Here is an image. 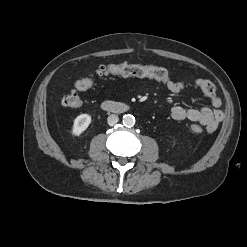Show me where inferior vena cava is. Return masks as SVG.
<instances>
[{"mask_svg": "<svg viewBox=\"0 0 247 247\" xmlns=\"http://www.w3.org/2000/svg\"><path fill=\"white\" fill-rule=\"evenodd\" d=\"M119 121V118L116 114H111L110 116H108L107 118V122L110 126L115 125L117 122Z\"/></svg>", "mask_w": 247, "mask_h": 247, "instance_id": "inferior-vena-cava-1", "label": "inferior vena cava"}]
</instances>
